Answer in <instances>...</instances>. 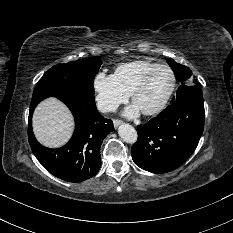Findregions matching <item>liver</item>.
<instances>
[{
    "label": "liver",
    "instance_id": "1",
    "mask_svg": "<svg viewBox=\"0 0 233 233\" xmlns=\"http://www.w3.org/2000/svg\"><path fill=\"white\" fill-rule=\"evenodd\" d=\"M74 130L71 112L60 100L50 97L43 100L33 115V131L37 140L46 147L64 145Z\"/></svg>",
    "mask_w": 233,
    "mask_h": 233
}]
</instances>
